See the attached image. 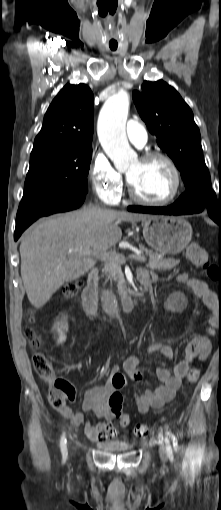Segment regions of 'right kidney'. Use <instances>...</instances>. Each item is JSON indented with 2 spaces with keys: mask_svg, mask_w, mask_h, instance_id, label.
Here are the masks:
<instances>
[{
  "mask_svg": "<svg viewBox=\"0 0 221 510\" xmlns=\"http://www.w3.org/2000/svg\"><path fill=\"white\" fill-rule=\"evenodd\" d=\"M55 328L58 332L57 344L62 345L66 341V333L68 332V323L61 320L55 324Z\"/></svg>",
  "mask_w": 221,
  "mask_h": 510,
  "instance_id": "1",
  "label": "right kidney"
}]
</instances>
